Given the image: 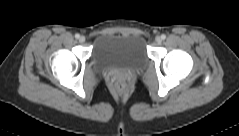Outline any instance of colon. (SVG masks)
<instances>
[{
    "mask_svg": "<svg viewBox=\"0 0 239 136\" xmlns=\"http://www.w3.org/2000/svg\"><path fill=\"white\" fill-rule=\"evenodd\" d=\"M113 89L116 92L123 93L127 89V82L123 78H116L113 83Z\"/></svg>",
    "mask_w": 239,
    "mask_h": 136,
    "instance_id": "colon-1",
    "label": "colon"
}]
</instances>
